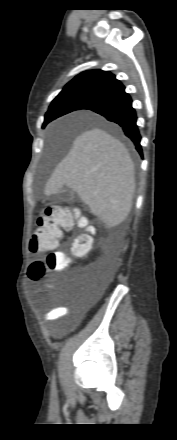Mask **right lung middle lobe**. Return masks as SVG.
<instances>
[{
    "label": "right lung middle lobe",
    "instance_id": "right-lung-middle-lobe-1",
    "mask_svg": "<svg viewBox=\"0 0 177 440\" xmlns=\"http://www.w3.org/2000/svg\"><path fill=\"white\" fill-rule=\"evenodd\" d=\"M94 101L92 97L75 92L61 93L51 103L47 112L50 116V120L45 122L44 125L64 114L83 109Z\"/></svg>",
    "mask_w": 177,
    "mask_h": 440
}]
</instances>
